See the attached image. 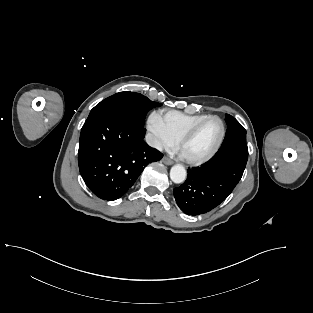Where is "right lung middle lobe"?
<instances>
[{
    "label": "right lung middle lobe",
    "mask_w": 313,
    "mask_h": 313,
    "mask_svg": "<svg viewBox=\"0 0 313 313\" xmlns=\"http://www.w3.org/2000/svg\"><path fill=\"white\" fill-rule=\"evenodd\" d=\"M140 93L119 92L97 104L87 120L101 114H113L128 120L133 125L144 128V120L149 110L160 106Z\"/></svg>",
    "instance_id": "1"
}]
</instances>
